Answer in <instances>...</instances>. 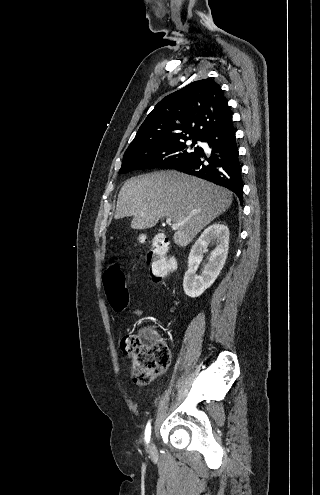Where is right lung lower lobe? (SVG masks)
<instances>
[{
  "label": "right lung lower lobe",
  "mask_w": 320,
  "mask_h": 495,
  "mask_svg": "<svg viewBox=\"0 0 320 495\" xmlns=\"http://www.w3.org/2000/svg\"><path fill=\"white\" fill-rule=\"evenodd\" d=\"M200 140L208 143L211 155L207 157L199 148L192 157L173 168L224 186L242 202L241 164L232 119L212 129Z\"/></svg>",
  "instance_id": "obj_1"
}]
</instances>
